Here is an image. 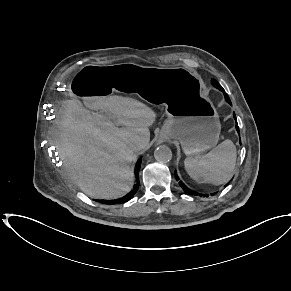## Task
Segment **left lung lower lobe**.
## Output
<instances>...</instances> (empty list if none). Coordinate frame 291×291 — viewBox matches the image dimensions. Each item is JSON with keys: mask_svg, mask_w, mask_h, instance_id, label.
I'll return each instance as SVG.
<instances>
[{"mask_svg": "<svg viewBox=\"0 0 291 291\" xmlns=\"http://www.w3.org/2000/svg\"><path fill=\"white\" fill-rule=\"evenodd\" d=\"M220 91L224 92V89L221 88ZM224 96H225L226 101H227L229 104H231V101H230L228 95H227L226 93H224ZM233 116H234V118H235V120H236L235 114H234ZM236 129H237V131H238V133H239V128H238V124H237V123H236ZM240 143H241V141H240ZM175 178H176L177 181L179 180V177H178L176 171H175ZM179 184H180L181 188L184 190V192H185L186 194H189V195H200V196H203V197H205V196L208 197V196H209V195H207V194H199V193H197V192H194L193 190L189 189V188H188V187H187V186H186L182 181H180ZM211 195H213V194H211Z\"/></svg>", "mask_w": 291, "mask_h": 291, "instance_id": "0a47b994", "label": "left lung lower lobe"}]
</instances>
